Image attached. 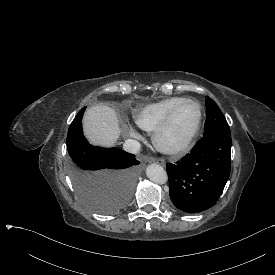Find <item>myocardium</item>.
Wrapping results in <instances>:
<instances>
[{"instance_id": "f54148a6", "label": "myocardium", "mask_w": 275, "mask_h": 275, "mask_svg": "<svg viewBox=\"0 0 275 275\" xmlns=\"http://www.w3.org/2000/svg\"><path fill=\"white\" fill-rule=\"evenodd\" d=\"M184 103H192L196 106L197 108V117L195 120L194 125L192 126L191 130L188 132V134L183 137L181 140L177 142H169L167 140L168 134L171 129L172 121H173V116L177 108ZM202 121V108L201 105L194 99H183L182 101L176 103L171 110L168 112L166 115L165 119L159 125L153 133V144L156 147V149L164 154H178L180 152L185 151L194 138L196 137L200 125Z\"/></svg>"}]
</instances>
